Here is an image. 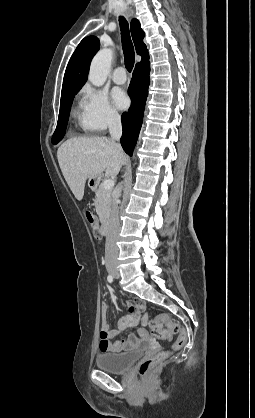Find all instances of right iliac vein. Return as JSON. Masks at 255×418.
Listing matches in <instances>:
<instances>
[{
  "label": "right iliac vein",
  "mask_w": 255,
  "mask_h": 418,
  "mask_svg": "<svg viewBox=\"0 0 255 418\" xmlns=\"http://www.w3.org/2000/svg\"><path fill=\"white\" fill-rule=\"evenodd\" d=\"M109 272H110L112 275H116V274H117V272H116L115 268H113V267H110V268H109Z\"/></svg>",
  "instance_id": "63e3f726"
}]
</instances>
